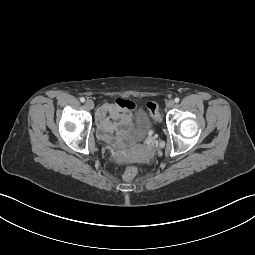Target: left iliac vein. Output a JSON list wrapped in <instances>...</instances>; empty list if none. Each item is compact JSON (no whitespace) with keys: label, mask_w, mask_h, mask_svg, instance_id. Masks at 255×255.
I'll list each match as a JSON object with an SVG mask.
<instances>
[{"label":"left iliac vein","mask_w":255,"mask_h":255,"mask_svg":"<svg viewBox=\"0 0 255 255\" xmlns=\"http://www.w3.org/2000/svg\"><path fill=\"white\" fill-rule=\"evenodd\" d=\"M174 104H175L174 100H169V101L166 103V106H167L168 108H172V107L174 106Z\"/></svg>","instance_id":"left-iliac-vein-1"}]
</instances>
